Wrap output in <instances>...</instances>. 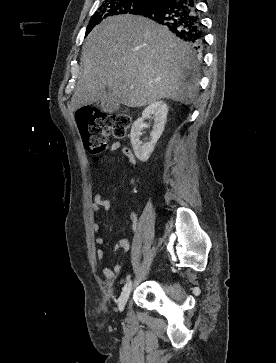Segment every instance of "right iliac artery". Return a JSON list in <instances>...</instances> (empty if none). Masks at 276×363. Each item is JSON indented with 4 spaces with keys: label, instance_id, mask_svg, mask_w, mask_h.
Wrapping results in <instances>:
<instances>
[{
    "label": "right iliac artery",
    "instance_id": "right-iliac-artery-1",
    "mask_svg": "<svg viewBox=\"0 0 276 363\" xmlns=\"http://www.w3.org/2000/svg\"><path fill=\"white\" fill-rule=\"evenodd\" d=\"M129 280H130V275H128L126 278V281H129Z\"/></svg>",
    "mask_w": 276,
    "mask_h": 363
}]
</instances>
